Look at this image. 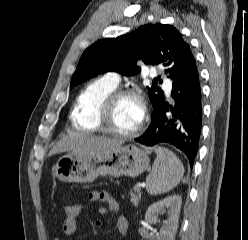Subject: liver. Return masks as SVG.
<instances>
[{"instance_id":"liver-1","label":"liver","mask_w":248,"mask_h":240,"mask_svg":"<svg viewBox=\"0 0 248 240\" xmlns=\"http://www.w3.org/2000/svg\"><path fill=\"white\" fill-rule=\"evenodd\" d=\"M122 144L123 141L115 139L76 133L65 136L58 141L51 149L49 156L65 151H72L74 153H93L114 149Z\"/></svg>"}]
</instances>
